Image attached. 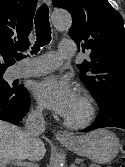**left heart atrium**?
<instances>
[{
    "label": "left heart atrium",
    "instance_id": "39dd6f15",
    "mask_svg": "<svg viewBox=\"0 0 125 167\" xmlns=\"http://www.w3.org/2000/svg\"><path fill=\"white\" fill-rule=\"evenodd\" d=\"M32 92L40 104L64 117L68 115L78 97L70 79L55 74L35 82Z\"/></svg>",
    "mask_w": 125,
    "mask_h": 167
}]
</instances>
